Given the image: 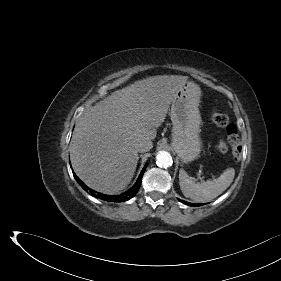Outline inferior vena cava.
Instances as JSON below:
<instances>
[{
  "label": "inferior vena cava",
  "instance_id": "inferior-vena-cava-1",
  "mask_svg": "<svg viewBox=\"0 0 281 281\" xmlns=\"http://www.w3.org/2000/svg\"><path fill=\"white\" fill-rule=\"evenodd\" d=\"M151 146V142L141 141L136 145V149L138 152H147Z\"/></svg>",
  "mask_w": 281,
  "mask_h": 281
}]
</instances>
